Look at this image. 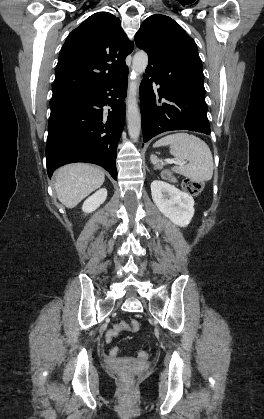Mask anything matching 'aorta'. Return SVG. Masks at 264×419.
Masks as SVG:
<instances>
[{
	"instance_id": "762f6f07",
	"label": "aorta",
	"mask_w": 264,
	"mask_h": 419,
	"mask_svg": "<svg viewBox=\"0 0 264 419\" xmlns=\"http://www.w3.org/2000/svg\"><path fill=\"white\" fill-rule=\"evenodd\" d=\"M148 65V55L144 51L137 52L133 57L131 80L127 93V122L128 133L136 141L140 135L141 117L137 104L138 78Z\"/></svg>"
}]
</instances>
